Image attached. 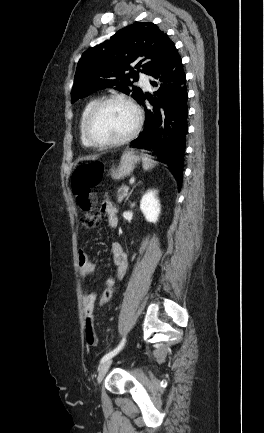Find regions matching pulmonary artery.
<instances>
[{
    "instance_id": "e3ab8cb5",
    "label": "pulmonary artery",
    "mask_w": 264,
    "mask_h": 433,
    "mask_svg": "<svg viewBox=\"0 0 264 433\" xmlns=\"http://www.w3.org/2000/svg\"><path fill=\"white\" fill-rule=\"evenodd\" d=\"M141 85H143L146 89H150V83H149V81L148 80H145V79H142L141 80Z\"/></svg>"
}]
</instances>
